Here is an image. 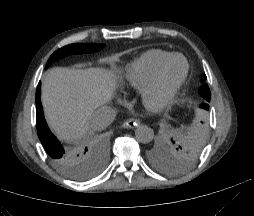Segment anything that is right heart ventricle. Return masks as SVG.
<instances>
[{
	"label": "right heart ventricle",
	"mask_w": 254,
	"mask_h": 216,
	"mask_svg": "<svg viewBox=\"0 0 254 216\" xmlns=\"http://www.w3.org/2000/svg\"><path fill=\"white\" fill-rule=\"evenodd\" d=\"M172 53L152 49L142 53L126 66V81L129 89L141 91L150 82L160 63L170 57Z\"/></svg>",
	"instance_id": "e07e8e85"
}]
</instances>
